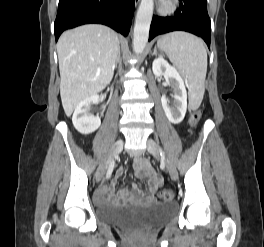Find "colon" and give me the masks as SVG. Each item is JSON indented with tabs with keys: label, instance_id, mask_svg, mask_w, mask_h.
<instances>
[{
	"label": "colon",
	"instance_id": "1",
	"mask_svg": "<svg viewBox=\"0 0 264 247\" xmlns=\"http://www.w3.org/2000/svg\"><path fill=\"white\" fill-rule=\"evenodd\" d=\"M202 116V112L200 110H195L192 114L191 123L196 124ZM175 191L170 188L163 189L159 192L158 198L161 201H170L174 199Z\"/></svg>",
	"mask_w": 264,
	"mask_h": 247
}]
</instances>
